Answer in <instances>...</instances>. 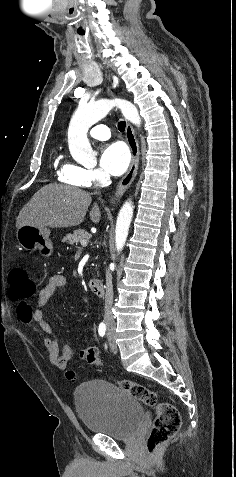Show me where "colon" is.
Returning <instances> with one entry per match:
<instances>
[{"label": "colon", "instance_id": "5ec220e1", "mask_svg": "<svg viewBox=\"0 0 236 477\" xmlns=\"http://www.w3.org/2000/svg\"><path fill=\"white\" fill-rule=\"evenodd\" d=\"M9 280V297L19 302L18 312L22 314L30 310L31 306L28 300L35 296L37 286L30 278L27 269L23 266L14 267L10 271ZM79 356L90 364L101 365L99 357L90 347L81 350ZM66 378L73 380L75 373L67 371ZM118 386L139 401L156 409V418L147 437V447L150 453L165 444L178 432L181 419L174 406L168 403H159L152 390L135 382L122 379L118 381Z\"/></svg>", "mask_w": 236, "mask_h": 477}]
</instances>
